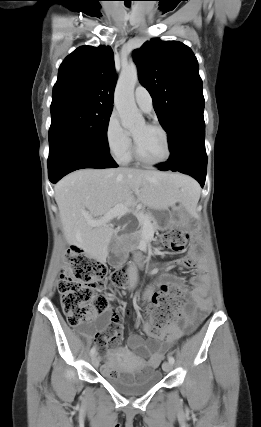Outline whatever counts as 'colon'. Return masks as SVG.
I'll return each instance as SVG.
<instances>
[{
    "label": "colon",
    "instance_id": "colon-1",
    "mask_svg": "<svg viewBox=\"0 0 261 427\" xmlns=\"http://www.w3.org/2000/svg\"><path fill=\"white\" fill-rule=\"evenodd\" d=\"M160 240L171 250L181 252L187 244L188 233L170 229L160 236ZM127 279L126 270L115 269L108 274L103 263L88 258L79 248H72L58 283L60 302L68 324L72 327L89 324L99 314L110 311L108 295L123 288ZM181 312V290L168 284L152 296L148 332L159 336Z\"/></svg>",
    "mask_w": 261,
    "mask_h": 427
}]
</instances>
